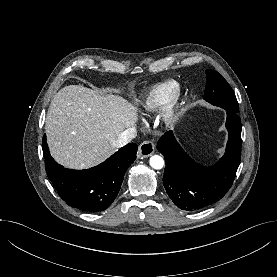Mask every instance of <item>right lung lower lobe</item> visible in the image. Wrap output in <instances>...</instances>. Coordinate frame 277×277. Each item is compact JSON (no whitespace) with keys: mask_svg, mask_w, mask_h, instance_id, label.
<instances>
[{"mask_svg":"<svg viewBox=\"0 0 277 277\" xmlns=\"http://www.w3.org/2000/svg\"><path fill=\"white\" fill-rule=\"evenodd\" d=\"M46 172L57 192L71 207L97 213L116 198L126 169L136 159L137 145L129 143L98 166L87 170L66 169L51 157L43 136Z\"/></svg>","mask_w":277,"mask_h":277,"instance_id":"right-lung-lower-lobe-1","label":"right lung lower lobe"}]
</instances>
